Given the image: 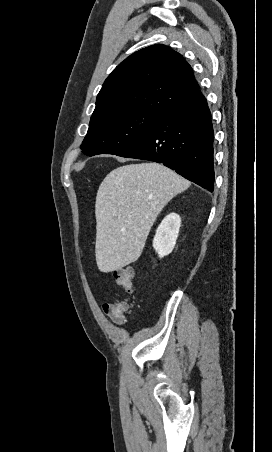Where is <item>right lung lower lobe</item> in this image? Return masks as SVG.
I'll list each match as a JSON object with an SVG mask.
<instances>
[{"label": "right lung lower lobe", "instance_id": "98d812e1", "mask_svg": "<svg viewBox=\"0 0 272 452\" xmlns=\"http://www.w3.org/2000/svg\"><path fill=\"white\" fill-rule=\"evenodd\" d=\"M213 126L206 98L197 91L178 108L162 113L121 157L162 163L213 191Z\"/></svg>", "mask_w": 272, "mask_h": 452}]
</instances>
